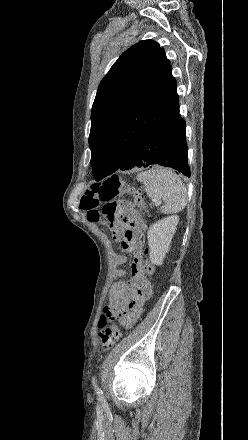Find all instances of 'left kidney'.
I'll return each instance as SVG.
<instances>
[{
  "mask_svg": "<svg viewBox=\"0 0 248 440\" xmlns=\"http://www.w3.org/2000/svg\"><path fill=\"white\" fill-rule=\"evenodd\" d=\"M179 222L177 215L161 219L151 225L147 232L150 260L155 265H162L170 250L172 238Z\"/></svg>",
  "mask_w": 248,
  "mask_h": 440,
  "instance_id": "1",
  "label": "left kidney"
}]
</instances>
